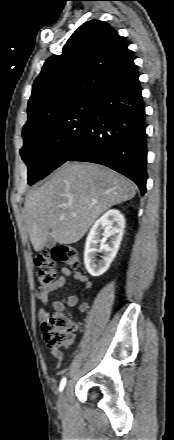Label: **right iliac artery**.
Masks as SVG:
<instances>
[{
  "mask_svg": "<svg viewBox=\"0 0 174 440\" xmlns=\"http://www.w3.org/2000/svg\"><path fill=\"white\" fill-rule=\"evenodd\" d=\"M65 385H66V378H63L59 387L60 392L64 389Z\"/></svg>",
  "mask_w": 174,
  "mask_h": 440,
  "instance_id": "82829eb1",
  "label": "right iliac artery"
}]
</instances>
